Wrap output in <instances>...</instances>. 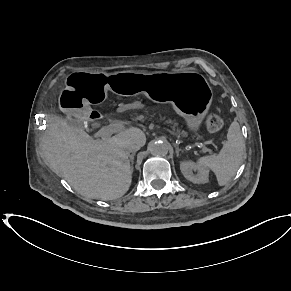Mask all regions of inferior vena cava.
<instances>
[{"instance_id": "inferior-vena-cava-1", "label": "inferior vena cava", "mask_w": 291, "mask_h": 291, "mask_svg": "<svg viewBox=\"0 0 291 291\" xmlns=\"http://www.w3.org/2000/svg\"><path fill=\"white\" fill-rule=\"evenodd\" d=\"M140 148H141V145L139 143H136V142H127V143L124 144V150L127 153L136 152Z\"/></svg>"}]
</instances>
